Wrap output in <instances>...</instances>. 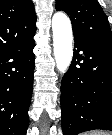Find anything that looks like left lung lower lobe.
Wrapping results in <instances>:
<instances>
[{
    "label": "left lung lower lobe",
    "instance_id": "0a47b994",
    "mask_svg": "<svg viewBox=\"0 0 112 135\" xmlns=\"http://www.w3.org/2000/svg\"><path fill=\"white\" fill-rule=\"evenodd\" d=\"M74 41L72 64L61 83L63 134L112 131V43Z\"/></svg>",
    "mask_w": 112,
    "mask_h": 135
}]
</instances>
